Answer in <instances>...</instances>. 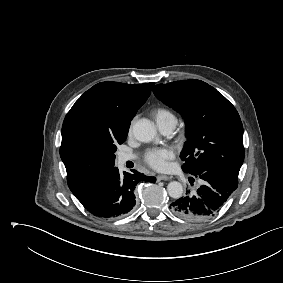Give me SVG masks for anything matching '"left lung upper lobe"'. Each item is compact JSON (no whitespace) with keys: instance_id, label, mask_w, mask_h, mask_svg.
<instances>
[{"instance_id":"1","label":"left lung upper lobe","mask_w":283,"mask_h":283,"mask_svg":"<svg viewBox=\"0 0 283 283\" xmlns=\"http://www.w3.org/2000/svg\"><path fill=\"white\" fill-rule=\"evenodd\" d=\"M153 92L185 120L188 141L180 155L184 172H218L238 178L244 147L243 125L235 107L200 80L159 84Z\"/></svg>"}]
</instances>
